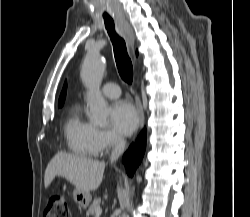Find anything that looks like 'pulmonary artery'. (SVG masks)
I'll use <instances>...</instances> for the list:
<instances>
[{"label":"pulmonary artery","instance_id":"pulmonary-artery-1","mask_svg":"<svg viewBox=\"0 0 250 217\" xmlns=\"http://www.w3.org/2000/svg\"><path fill=\"white\" fill-rule=\"evenodd\" d=\"M102 93L107 98L115 99L120 96L121 90L116 83L109 82L103 86Z\"/></svg>","mask_w":250,"mask_h":217}]
</instances>
